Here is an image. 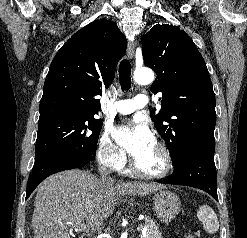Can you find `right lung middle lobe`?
Masks as SVG:
<instances>
[{
  "mask_svg": "<svg viewBox=\"0 0 247 238\" xmlns=\"http://www.w3.org/2000/svg\"><path fill=\"white\" fill-rule=\"evenodd\" d=\"M102 120L94 116L59 118L39 123L34 167L57 156L94 160Z\"/></svg>",
  "mask_w": 247,
  "mask_h": 238,
  "instance_id": "dd1d6c3e",
  "label": "right lung middle lobe"
}]
</instances>
